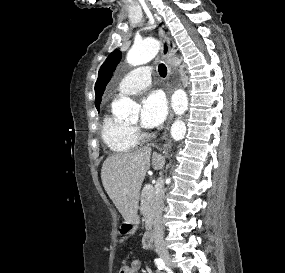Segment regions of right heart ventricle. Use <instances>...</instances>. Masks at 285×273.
Wrapping results in <instances>:
<instances>
[{
    "label": "right heart ventricle",
    "mask_w": 285,
    "mask_h": 273,
    "mask_svg": "<svg viewBox=\"0 0 285 273\" xmlns=\"http://www.w3.org/2000/svg\"><path fill=\"white\" fill-rule=\"evenodd\" d=\"M101 137L105 145L115 153H126L138 144L134 130L127 124L116 120L111 114L103 117Z\"/></svg>",
    "instance_id": "right-heart-ventricle-1"
}]
</instances>
